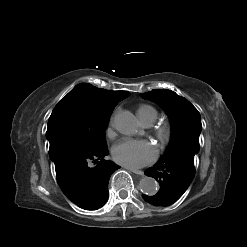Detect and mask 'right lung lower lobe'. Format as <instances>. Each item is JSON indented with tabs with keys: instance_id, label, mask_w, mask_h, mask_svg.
Segmentation results:
<instances>
[{
	"instance_id": "1",
	"label": "right lung lower lobe",
	"mask_w": 247,
	"mask_h": 247,
	"mask_svg": "<svg viewBox=\"0 0 247 247\" xmlns=\"http://www.w3.org/2000/svg\"><path fill=\"white\" fill-rule=\"evenodd\" d=\"M107 154V148L89 151L68 142H50L49 156L55 164L58 184L80 208L96 210L106 203L109 178L120 168L104 159Z\"/></svg>"
}]
</instances>
